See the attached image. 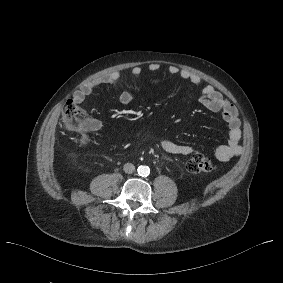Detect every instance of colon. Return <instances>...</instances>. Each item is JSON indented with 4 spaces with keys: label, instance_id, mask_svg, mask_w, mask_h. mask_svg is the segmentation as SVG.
<instances>
[{
    "label": "colon",
    "instance_id": "1",
    "mask_svg": "<svg viewBox=\"0 0 283 283\" xmlns=\"http://www.w3.org/2000/svg\"><path fill=\"white\" fill-rule=\"evenodd\" d=\"M89 124V117L72 100L65 103L62 111V126L66 131L77 133L83 144L89 142L85 129ZM186 168L191 173H210L215 170L214 162L203 154H194L186 162Z\"/></svg>",
    "mask_w": 283,
    "mask_h": 283
}]
</instances>
